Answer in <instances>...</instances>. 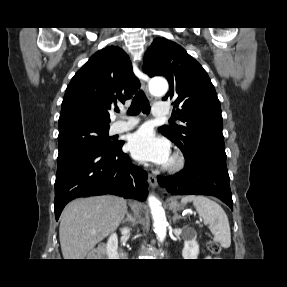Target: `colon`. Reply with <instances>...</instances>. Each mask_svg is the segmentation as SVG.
I'll return each instance as SVG.
<instances>
[{
	"label": "colon",
	"instance_id": "colon-1",
	"mask_svg": "<svg viewBox=\"0 0 287 287\" xmlns=\"http://www.w3.org/2000/svg\"><path fill=\"white\" fill-rule=\"evenodd\" d=\"M207 248H208L209 252L213 255H218L221 252L220 245L215 241H208L207 242Z\"/></svg>",
	"mask_w": 287,
	"mask_h": 287
}]
</instances>
